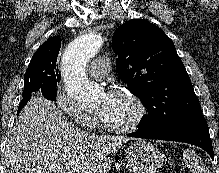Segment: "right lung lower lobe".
I'll return each instance as SVG.
<instances>
[{
  "label": "right lung lower lobe",
  "instance_id": "obj_1",
  "mask_svg": "<svg viewBox=\"0 0 219 173\" xmlns=\"http://www.w3.org/2000/svg\"><path fill=\"white\" fill-rule=\"evenodd\" d=\"M30 98H31V94H28L23 97L18 107V112L24 107V105L28 102V100H30Z\"/></svg>",
  "mask_w": 219,
  "mask_h": 173
}]
</instances>
